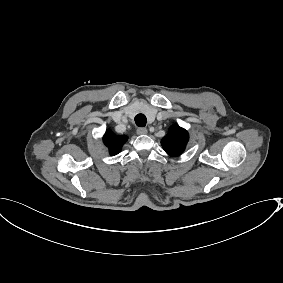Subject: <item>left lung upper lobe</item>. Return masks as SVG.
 <instances>
[{"label":"left lung upper lobe","instance_id":"5c2ea615","mask_svg":"<svg viewBox=\"0 0 283 283\" xmlns=\"http://www.w3.org/2000/svg\"><path fill=\"white\" fill-rule=\"evenodd\" d=\"M188 140V132L178 125H173L161 140V145L168 155L179 156L184 152Z\"/></svg>","mask_w":283,"mask_h":283}]
</instances>
